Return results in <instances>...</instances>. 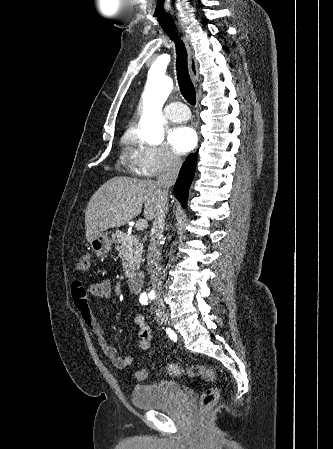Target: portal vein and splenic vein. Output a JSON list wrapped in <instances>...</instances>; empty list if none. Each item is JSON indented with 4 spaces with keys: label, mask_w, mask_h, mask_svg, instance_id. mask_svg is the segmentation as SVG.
I'll return each instance as SVG.
<instances>
[{
    "label": "portal vein and splenic vein",
    "mask_w": 333,
    "mask_h": 449,
    "mask_svg": "<svg viewBox=\"0 0 333 449\" xmlns=\"http://www.w3.org/2000/svg\"><path fill=\"white\" fill-rule=\"evenodd\" d=\"M147 226H148V222L146 220H139L136 223V228L138 230H143V229L147 228Z\"/></svg>",
    "instance_id": "obj_1"
}]
</instances>
